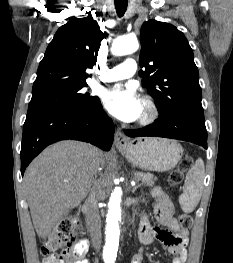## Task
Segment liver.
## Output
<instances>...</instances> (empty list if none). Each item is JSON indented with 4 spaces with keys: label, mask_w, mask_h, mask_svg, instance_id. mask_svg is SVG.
<instances>
[{
    "label": "liver",
    "mask_w": 233,
    "mask_h": 263,
    "mask_svg": "<svg viewBox=\"0 0 233 263\" xmlns=\"http://www.w3.org/2000/svg\"><path fill=\"white\" fill-rule=\"evenodd\" d=\"M105 155L94 146L66 140L49 146L28 166L24 189L39 237H47L57 222L89 193Z\"/></svg>",
    "instance_id": "obj_1"
}]
</instances>
